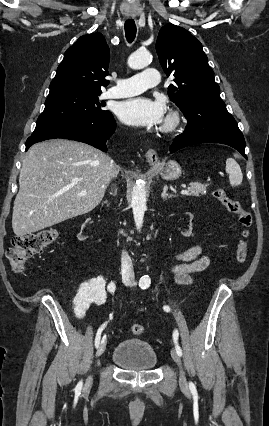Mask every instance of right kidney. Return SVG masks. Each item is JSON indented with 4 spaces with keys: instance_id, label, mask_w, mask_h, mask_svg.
Here are the masks:
<instances>
[{
    "instance_id": "obj_1",
    "label": "right kidney",
    "mask_w": 269,
    "mask_h": 426,
    "mask_svg": "<svg viewBox=\"0 0 269 426\" xmlns=\"http://www.w3.org/2000/svg\"><path fill=\"white\" fill-rule=\"evenodd\" d=\"M92 218L89 216L87 220L82 224L81 226V232L77 235V238L79 241H85L88 236H85L82 234V230L85 228L86 224L91 220ZM106 283L101 281L93 280L90 283H84L81 285L76 298L74 299L75 304L77 305V308H87L89 304L91 303L92 306H103L104 301L107 300L106 293Z\"/></svg>"
}]
</instances>
